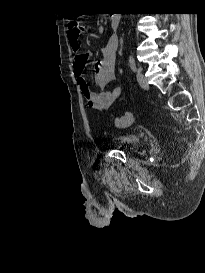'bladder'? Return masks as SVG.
I'll list each match as a JSON object with an SVG mask.
<instances>
[{"label":"bladder","mask_w":205,"mask_h":273,"mask_svg":"<svg viewBox=\"0 0 205 273\" xmlns=\"http://www.w3.org/2000/svg\"><path fill=\"white\" fill-rule=\"evenodd\" d=\"M117 140L122 146L128 148H137L140 144V139L134 135H122Z\"/></svg>","instance_id":"31cf9c89"}]
</instances>
